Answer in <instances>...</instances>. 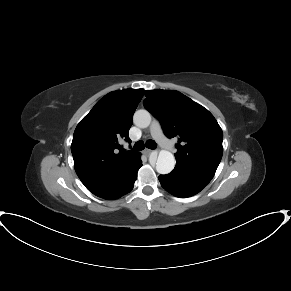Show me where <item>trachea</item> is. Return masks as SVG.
Segmentation results:
<instances>
[{"label":"trachea","mask_w":291,"mask_h":291,"mask_svg":"<svg viewBox=\"0 0 291 291\" xmlns=\"http://www.w3.org/2000/svg\"><path fill=\"white\" fill-rule=\"evenodd\" d=\"M146 147L149 149H155L157 147V144L154 140H148L146 142ZM145 148V144L143 141H138L134 145V151H141Z\"/></svg>","instance_id":"1"}]
</instances>
